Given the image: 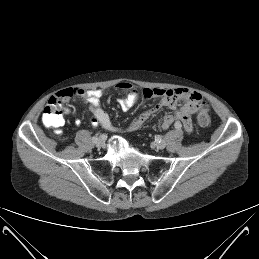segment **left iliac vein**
I'll return each mask as SVG.
<instances>
[{"label": "left iliac vein", "instance_id": "obj_1", "mask_svg": "<svg viewBox=\"0 0 259 259\" xmlns=\"http://www.w3.org/2000/svg\"><path fill=\"white\" fill-rule=\"evenodd\" d=\"M165 146H166V142H165L164 140H162V141H160V142L157 143V147H158L159 149H164Z\"/></svg>", "mask_w": 259, "mask_h": 259}]
</instances>
